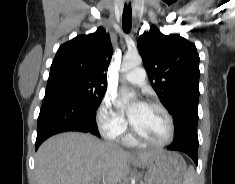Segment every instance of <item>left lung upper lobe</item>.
I'll list each match as a JSON object with an SVG mask.
<instances>
[{
	"label": "left lung upper lobe",
	"mask_w": 235,
	"mask_h": 184,
	"mask_svg": "<svg viewBox=\"0 0 235 184\" xmlns=\"http://www.w3.org/2000/svg\"><path fill=\"white\" fill-rule=\"evenodd\" d=\"M152 86L174 119V139L198 140L199 55L179 35H163L156 26L138 40Z\"/></svg>",
	"instance_id": "1"
}]
</instances>
